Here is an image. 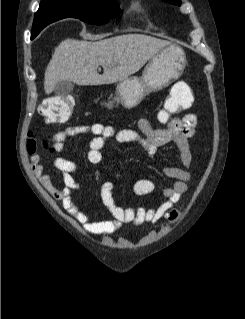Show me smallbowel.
Listing matches in <instances>:
<instances>
[{
	"label": "small bowel",
	"instance_id": "obj_1",
	"mask_svg": "<svg viewBox=\"0 0 245 319\" xmlns=\"http://www.w3.org/2000/svg\"><path fill=\"white\" fill-rule=\"evenodd\" d=\"M185 92L186 103L191 106L193 95L190 87L184 81L176 82L172 92ZM197 118L195 114L188 113L182 117H173L167 122L166 128L155 129L146 118L138 120L137 129L117 128L111 125L93 124L90 126H70L65 130L56 132L52 140L51 151L60 153L65 147L66 140L79 134L90 133L94 135L91 140L87 158L92 165H97L102 159L101 149L109 142L137 143L153 158L161 146L174 144L179 151L180 160L185 168L167 166L162 169L165 177L172 180L171 185L162 189L165 200L156 207H122L115 202L112 182H104L100 185V195L104 205L107 207L112 219L95 220L92 216L81 211L73 197V192L80 189L79 183L75 180L74 174L79 171L78 165L70 159L55 157L54 166L61 171L63 188H57L48 174H44V167L39 157L32 158V170L39 179L41 185L56 200H59L63 207L79 222L86 231L98 235H107L118 230L123 224L133 223L141 225L145 223L154 224L160 221L165 214L178 203L183 194L188 190L190 172L187 170L193 159L190 139L195 134ZM156 184L151 179H139L131 185V191L137 196L153 193Z\"/></svg>",
	"mask_w": 245,
	"mask_h": 319
}]
</instances>
